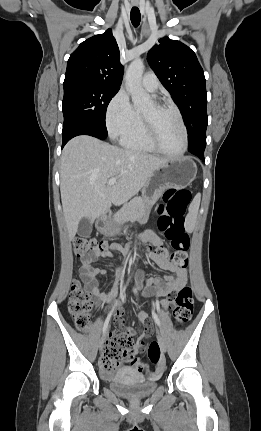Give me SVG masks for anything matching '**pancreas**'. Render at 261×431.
I'll return each mask as SVG.
<instances>
[{
    "label": "pancreas",
    "instance_id": "pancreas-1",
    "mask_svg": "<svg viewBox=\"0 0 261 431\" xmlns=\"http://www.w3.org/2000/svg\"><path fill=\"white\" fill-rule=\"evenodd\" d=\"M150 208L151 206H148L144 199L134 198L124 204L123 207L114 215V221L122 224L127 221L140 220L146 215Z\"/></svg>",
    "mask_w": 261,
    "mask_h": 431
}]
</instances>
